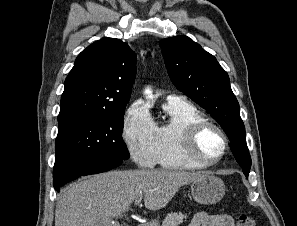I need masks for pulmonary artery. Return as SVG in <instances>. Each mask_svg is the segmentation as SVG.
Instances as JSON below:
<instances>
[{
    "label": "pulmonary artery",
    "instance_id": "pulmonary-artery-1",
    "mask_svg": "<svg viewBox=\"0 0 297 226\" xmlns=\"http://www.w3.org/2000/svg\"><path fill=\"white\" fill-rule=\"evenodd\" d=\"M167 99L180 100V99H183V97L176 94H170L168 95Z\"/></svg>",
    "mask_w": 297,
    "mask_h": 226
}]
</instances>
